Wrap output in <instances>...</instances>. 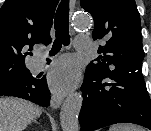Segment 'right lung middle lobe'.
<instances>
[{
    "instance_id": "1",
    "label": "right lung middle lobe",
    "mask_w": 151,
    "mask_h": 131,
    "mask_svg": "<svg viewBox=\"0 0 151 131\" xmlns=\"http://www.w3.org/2000/svg\"><path fill=\"white\" fill-rule=\"evenodd\" d=\"M31 73H17L15 75L9 76L4 80H0V88L5 87L6 85H11L14 83H17L18 81H21L28 76H30Z\"/></svg>"
}]
</instances>
